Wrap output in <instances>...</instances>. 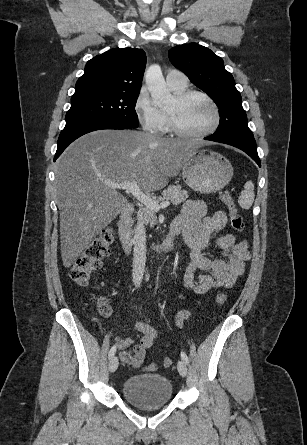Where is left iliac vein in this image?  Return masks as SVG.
I'll use <instances>...</instances> for the list:
<instances>
[{
  "label": "left iliac vein",
  "mask_w": 307,
  "mask_h": 445,
  "mask_svg": "<svg viewBox=\"0 0 307 445\" xmlns=\"http://www.w3.org/2000/svg\"><path fill=\"white\" fill-rule=\"evenodd\" d=\"M177 368H178L180 375H182L183 377H185L187 375V366L184 361L180 360L177 364Z\"/></svg>",
  "instance_id": "left-iliac-vein-1"
}]
</instances>
